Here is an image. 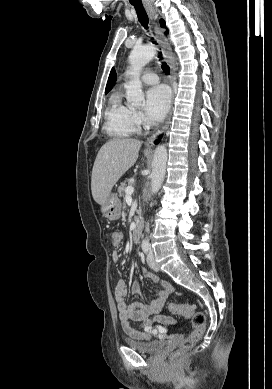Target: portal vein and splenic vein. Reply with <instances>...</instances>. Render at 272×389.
<instances>
[{"label":"portal vein and splenic vein","instance_id":"portal-vein-and-splenic-vein-1","mask_svg":"<svg viewBox=\"0 0 272 389\" xmlns=\"http://www.w3.org/2000/svg\"><path fill=\"white\" fill-rule=\"evenodd\" d=\"M133 192H134V188H133L132 186H128V187L125 189L126 195H131Z\"/></svg>","mask_w":272,"mask_h":389}]
</instances>
